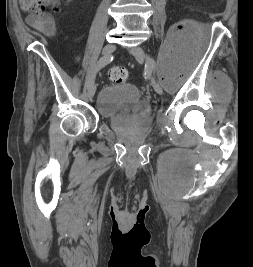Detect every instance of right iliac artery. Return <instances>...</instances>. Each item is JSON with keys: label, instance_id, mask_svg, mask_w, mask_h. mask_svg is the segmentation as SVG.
I'll return each mask as SVG.
<instances>
[{"label": "right iliac artery", "instance_id": "1", "mask_svg": "<svg viewBox=\"0 0 253 267\" xmlns=\"http://www.w3.org/2000/svg\"><path fill=\"white\" fill-rule=\"evenodd\" d=\"M112 60H113V56L111 55H105L98 60L95 68L93 69L92 73L89 75L87 79V87H89L90 84L94 82L96 72L102 67H104L105 65L109 64Z\"/></svg>", "mask_w": 253, "mask_h": 267}]
</instances>
